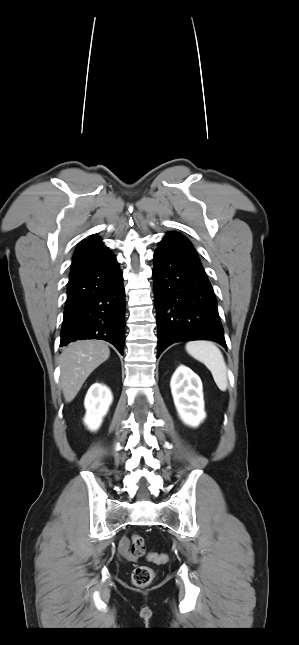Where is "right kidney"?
I'll return each instance as SVG.
<instances>
[{
    "mask_svg": "<svg viewBox=\"0 0 299 645\" xmlns=\"http://www.w3.org/2000/svg\"><path fill=\"white\" fill-rule=\"evenodd\" d=\"M112 400V393L107 386L95 383L89 388L84 400L86 409L84 423L89 430L96 431L99 429Z\"/></svg>",
    "mask_w": 299,
    "mask_h": 645,
    "instance_id": "ca27d5eb",
    "label": "right kidney"
}]
</instances>
